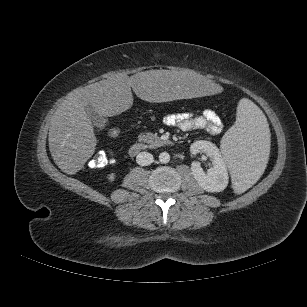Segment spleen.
<instances>
[{
  "label": "spleen",
  "instance_id": "obj_1",
  "mask_svg": "<svg viewBox=\"0 0 307 307\" xmlns=\"http://www.w3.org/2000/svg\"><path fill=\"white\" fill-rule=\"evenodd\" d=\"M221 150L232 172L235 193L246 190L265 171L271 157L269 127L265 115L251 100L239 101L236 122L223 136Z\"/></svg>",
  "mask_w": 307,
  "mask_h": 307
}]
</instances>
